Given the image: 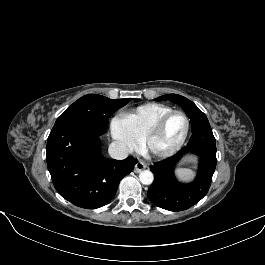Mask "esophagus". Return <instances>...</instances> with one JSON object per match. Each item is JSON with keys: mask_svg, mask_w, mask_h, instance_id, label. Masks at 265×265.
<instances>
[{"mask_svg": "<svg viewBox=\"0 0 265 265\" xmlns=\"http://www.w3.org/2000/svg\"><path fill=\"white\" fill-rule=\"evenodd\" d=\"M146 164L143 161H139L134 168V171L136 173H140L141 171H143L146 168Z\"/></svg>", "mask_w": 265, "mask_h": 265, "instance_id": "1", "label": "esophagus"}]
</instances>
